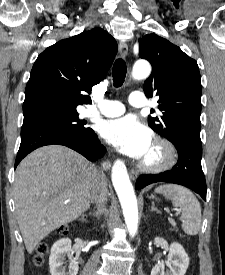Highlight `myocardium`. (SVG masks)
Segmentation results:
<instances>
[{
  "label": "myocardium",
  "instance_id": "1",
  "mask_svg": "<svg viewBox=\"0 0 225 275\" xmlns=\"http://www.w3.org/2000/svg\"><path fill=\"white\" fill-rule=\"evenodd\" d=\"M153 146L159 151V157L155 161L143 159L140 162V169L146 173H161L170 169L177 160V151L173 144L168 140L156 137Z\"/></svg>",
  "mask_w": 225,
  "mask_h": 275
}]
</instances>
